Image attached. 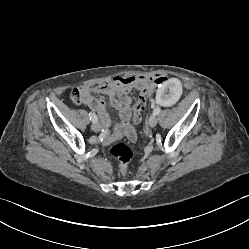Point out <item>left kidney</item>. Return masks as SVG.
Instances as JSON below:
<instances>
[{"mask_svg": "<svg viewBox=\"0 0 249 249\" xmlns=\"http://www.w3.org/2000/svg\"><path fill=\"white\" fill-rule=\"evenodd\" d=\"M183 80L173 75L161 82L160 88L154 93V100L160 107L177 103L183 95Z\"/></svg>", "mask_w": 249, "mask_h": 249, "instance_id": "5707ae66", "label": "left kidney"}]
</instances>
